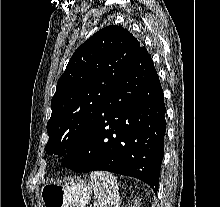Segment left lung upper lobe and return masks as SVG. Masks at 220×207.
Returning a JSON list of instances; mask_svg holds the SVG:
<instances>
[{
    "mask_svg": "<svg viewBox=\"0 0 220 207\" xmlns=\"http://www.w3.org/2000/svg\"><path fill=\"white\" fill-rule=\"evenodd\" d=\"M140 46L126 29L110 25L77 48L51 100L49 141L45 147L49 155L64 156L87 136Z\"/></svg>",
    "mask_w": 220,
    "mask_h": 207,
    "instance_id": "left-lung-upper-lobe-1",
    "label": "left lung upper lobe"
}]
</instances>
